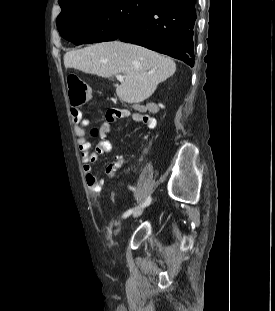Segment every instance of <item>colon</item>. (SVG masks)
Returning a JSON list of instances; mask_svg holds the SVG:
<instances>
[{
	"label": "colon",
	"instance_id": "obj_1",
	"mask_svg": "<svg viewBox=\"0 0 275 311\" xmlns=\"http://www.w3.org/2000/svg\"><path fill=\"white\" fill-rule=\"evenodd\" d=\"M68 86L70 89V102L73 108L83 106L90 99V88L77 76H70L68 78ZM114 116L113 110L107 112V118L111 121L114 119Z\"/></svg>",
	"mask_w": 275,
	"mask_h": 311
}]
</instances>
